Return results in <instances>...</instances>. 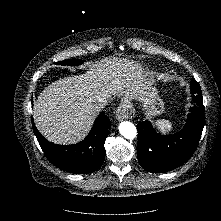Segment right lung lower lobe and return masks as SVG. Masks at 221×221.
Listing matches in <instances>:
<instances>
[{"label":"right lung lower lobe","instance_id":"98d812e1","mask_svg":"<svg viewBox=\"0 0 221 221\" xmlns=\"http://www.w3.org/2000/svg\"><path fill=\"white\" fill-rule=\"evenodd\" d=\"M37 140L49 159L57 168L64 171L87 174L98 170L105 158L104 143L110 129V120L101 112L93 128L82 142L74 145H55L48 142L37 130L32 120Z\"/></svg>","mask_w":221,"mask_h":221}]
</instances>
